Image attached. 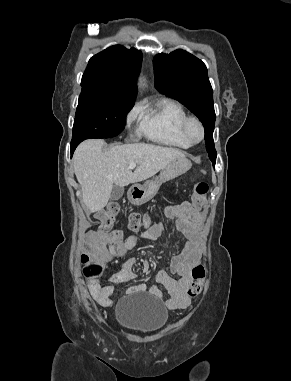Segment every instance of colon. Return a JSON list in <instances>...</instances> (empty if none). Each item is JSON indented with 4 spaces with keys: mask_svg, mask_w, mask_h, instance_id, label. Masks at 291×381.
Returning a JSON list of instances; mask_svg holds the SVG:
<instances>
[{
    "mask_svg": "<svg viewBox=\"0 0 291 381\" xmlns=\"http://www.w3.org/2000/svg\"><path fill=\"white\" fill-rule=\"evenodd\" d=\"M208 185L203 181H198L194 188L193 200L196 206L202 205L208 194ZM119 213V207L113 203L108 205L105 209L100 211L96 218L99 226L98 231L107 233L114 225ZM148 224L147 218H142L140 215H132L129 219V228L133 231L140 229L142 226ZM106 247L99 242L94 248L86 249L82 255V262L84 263L85 275L89 278L99 277L105 267ZM193 282L187 290V296L190 299L196 298L202 291L203 282L206 277L205 267L201 264L194 266L192 269Z\"/></svg>",
    "mask_w": 291,
    "mask_h": 381,
    "instance_id": "colon-1",
    "label": "colon"
}]
</instances>
